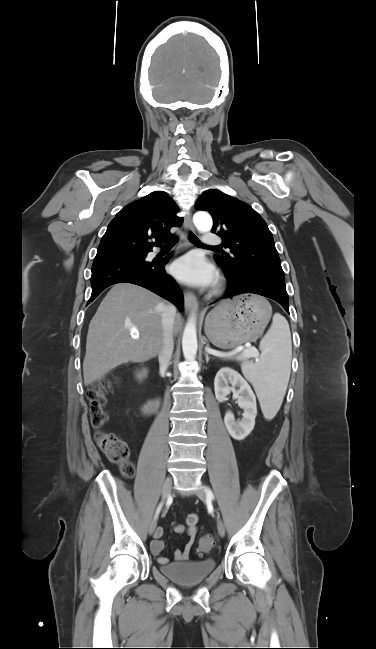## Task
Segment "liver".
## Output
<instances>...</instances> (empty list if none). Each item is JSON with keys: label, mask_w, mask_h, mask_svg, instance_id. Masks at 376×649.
<instances>
[{"label": "liver", "mask_w": 376, "mask_h": 649, "mask_svg": "<svg viewBox=\"0 0 376 649\" xmlns=\"http://www.w3.org/2000/svg\"><path fill=\"white\" fill-rule=\"evenodd\" d=\"M164 306L157 295L138 285L119 283L111 288L89 324L83 361L85 386L124 362H142L158 355ZM181 326L177 314L174 334Z\"/></svg>", "instance_id": "obj_1"}]
</instances>
